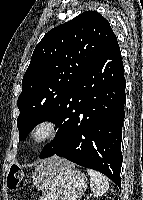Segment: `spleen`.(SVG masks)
I'll list each match as a JSON object with an SVG mask.
<instances>
[{
    "label": "spleen",
    "mask_w": 143,
    "mask_h": 200,
    "mask_svg": "<svg viewBox=\"0 0 143 200\" xmlns=\"http://www.w3.org/2000/svg\"><path fill=\"white\" fill-rule=\"evenodd\" d=\"M90 176V188L95 197H100L109 189L107 178L93 169H87Z\"/></svg>",
    "instance_id": "3e777b00"
}]
</instances>
